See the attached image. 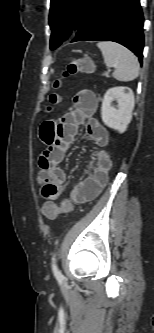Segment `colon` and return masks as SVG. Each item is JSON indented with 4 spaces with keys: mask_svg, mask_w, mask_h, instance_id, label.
<instances>
[{
    "mask_svg": "<svg viewBox=\"0 0 154 333\" xmlns=\"http://www.w3.org/2000/svg\"><path fill=\"white\" fill-rule=\"evenodd\" d=\"M93 70V63L89 58H82L71 61L66 71L65 75H74L78 73H90ZM54 87L57 89L60 87V82L56 81ZM61 102V96L58 92H52L48 96V110H52L54 106ZM73 209L72 204L65 200L60 205L55 204L51 201H46L42 205V213L47 219H55L57 216L62 214H69Z\"/></svg>",
    "mask_w": 154,
    "mask_h": 333,
    "instance_id": "5ec220e1",
    "label": "colon"
}]
</instances>
